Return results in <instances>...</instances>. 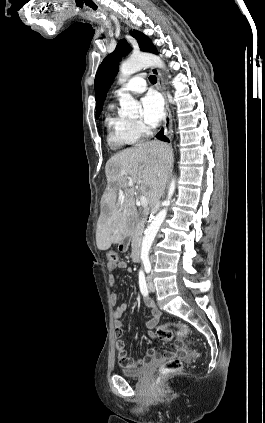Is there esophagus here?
<instances>
[{
	"instance_id": "esophagus-1",
	"label": "esophagus",
	"mask_w": 265,
	"mask_h": 423,
	"mask_svg": "<svg viewBox=\"0 0 265 423\" xmlns=\"http://www.w3.org/2000/svg\"><path fill=\"white\" fill-rule=\"evenodd\" d=\"M151 72L157 77V87L159 91L162 93L165 101V118H164V124H163V130L164 134L168 137H172L173 130H172V116L170 113V109L168 106L167 96L165 93V88L163 84V79L161 76V73L154 67H151Z\"/></svg>"
}]
</instances>
